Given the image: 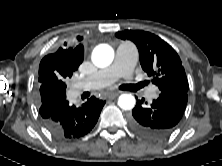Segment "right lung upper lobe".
Listing matches in <instances>:
<instances>
[{
	"label": "right lung upper lobe",
	"instance_id": "right-lung-upper-lobe-1",
	"mask_svg": "<svg viewBox=\"0 0 222 166\" xmlns=\"http://www.w3.org/2000/svg\"><path fill=\"white\" fill-rule=\"evenodd\" d=\"M82 39L78 36L74 43L65 42L56 52L45 56L39 67L70 66L77 70L84 57V48L79 43Z\"/></svg>",
	"mask_w": 222,
	"mask_h": 166
}]
</instances>
